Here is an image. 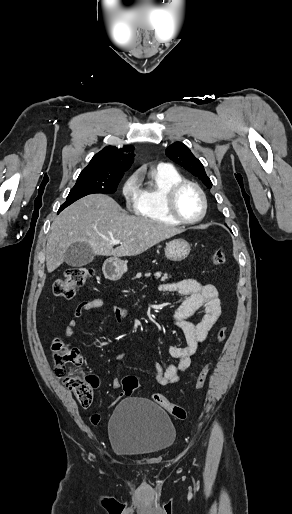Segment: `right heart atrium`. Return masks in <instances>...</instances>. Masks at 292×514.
Wrapping results in <instances>:
<instances>
[{"mask_svg": "<svg viewBox=\"0 0 292 514\" xmlns=\"http://www.w3.org/2000/svg\"><path fill=\"white\" fill-rule=\"evenodd\" d=\"M120 193L126 209L132 210L139 199L140 193V187L135 174H132L123 180L120 187Z\"/></svg>", "mask_w": 292, "mask_h": 514, "instance_id": "right-heart-atrium-1", "label": "right heart atrium"}]
</instances>
